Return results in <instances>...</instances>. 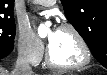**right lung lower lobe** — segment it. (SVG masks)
<instances>
[{
  "instance_id": "1",
  "label": "right lung lower lobe",
  "mask_w": 107,
  "mask_h": 75,
  "mask_svg": "<svg viewBox=\"0 0 107 75\" xmlns=\"http://www.w3.org/2000/svg\"><path fill=\"white\" fill-rule=\"evenodd\" d=\"M13 49H0V59L6 57L7 55H9L12 52Z\"/></svg>"
}]
</instances>
